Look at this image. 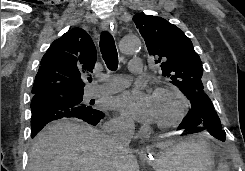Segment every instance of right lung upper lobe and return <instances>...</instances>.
<instances>
[{
  "mask_svg": "<svg viewBox=\"0 0 245 171\" xmlns=\"http://www.w3.org/2000/svg\"><path fill=\"white\" fill-rule=\"evenodd\" d=\"M97 59L91 37L81 28H73L56 39L41 59L32 93L58 96L84 93L81 75L92 71Z\"/></svg>",
  "mask_w": 245,
  "mask_h": 171,
  "instance_id": "1",
  "label": "right lung upper lobe"
}]
</instances>
